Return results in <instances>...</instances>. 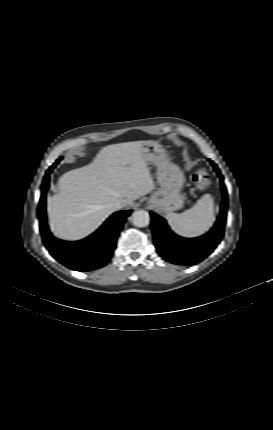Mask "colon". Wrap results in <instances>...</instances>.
<instances>
[{
  "mask_svg": "<svg viewBox=\"0 0 273 430\" xmlns=\"http://www.w3.org/2000/svg\"><path fill=\"white\" fill-rule=\"evenodd\" d=\"M193 182L200 190H205L210 185V178L206 171L199 170L193 175Z\"/></svg>",
  "mask_w": 273,
  "mask_h": 430,
  "instance_id": "1",
  "label": "colon"
}]
</instances>
